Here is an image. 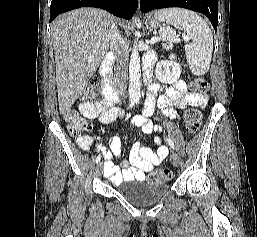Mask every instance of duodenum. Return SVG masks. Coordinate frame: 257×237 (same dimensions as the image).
Listing matches in <instances>:
<instances>
[{
    "instance_id": "obj_1",
    "label": "duodenum",
    "mask_w": 257,
    "mask_h": 237,
    "mask_svg": "<svg viewBox=\"0 0 257 237\" xmlns=\"http://www.w3.org/2000/svg\"><path fill=\"white\" fill-rule=\"evenodd\" d=\"M114 62H115V55L110 53L104 58V60L100 65V75L102 79L103 95L107 100L111 102L118 101L119 99L116 84L111 71V68ZM145 80L147 82L150 80V73L147 70V68H145Z\"/></svg>"
}]
</instances>
